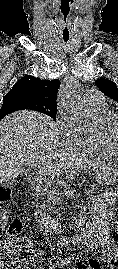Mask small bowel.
<instances>
[{"label": "small bowel", "instance_id": "small-bowel-1", "mask_svg": "<svg viewBox=\"0 0 118 269\" xmlns=\"http://www.w3.org/2000/svg\"><path fill=\"white\" fill-rule=\"evenodd\" d=\"M117 211L113 200H108L105 205L95 204L91 208L92 217L87 222L83 235L77 239L86 247L100 248L103 252L104 263L112 269L118 266V247L117 245L113 248L109 246V225Z\"/></svg>", "mask_w": 118, "mask_h": 269}]
</instances>
